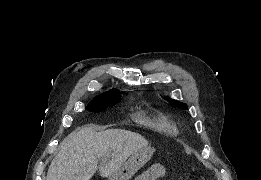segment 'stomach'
I'll return each mask as SVG.
<instances>
[{"instance_id": "stomach-1", "label": "stomach", "mask_w": 261, "mask_h": 180, "mask_svg": "<svg viewBox=\"0 0 261 180\" xmlns=\"http://www.w3.org/2000/svg\"><path fill=\"white\" fill-rule=\"evenodd\" d=\"M152 147H145L135 151L116 172L111 174L107 180H129L132 176L143 167L154 153Z\"/></svg>"}]
</instances>
